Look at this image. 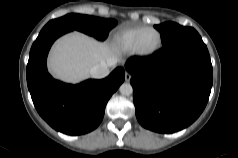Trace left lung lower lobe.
Masks as SVG:
<instances>
[{
  "mask_svg": "<svg viewBox=\"0 0 238 158\" xmlns=\"http://www.w3.org/2000/svg\"><path fill=\"white\" fill-rule=\"evenodd\" d=\"M133 101L139 123L173 133L192 124L204 110L213 83L210 55L200 35L175 39L152 56L131 57Z\"/></svg>",
  "mask_w": 238,
  "mask_h": 158,
  "instance_id": "obj_1",
  "label": "left lung lower lobe"
}]
</instances>
